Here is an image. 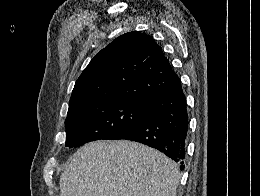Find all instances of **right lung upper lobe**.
I'll return each mask as SVG.
<instances>
[{"label":"right lung upper lobe","mask_w":260,"mask_h":196,"mask_svg":"<svg viewBox=\"0 0 260 196\" xmlns=\"http://www.w3.org/2000/svg\"><path fill=\"white\" fill-rule=\"evenodd\" d=\"M178 80L153 38L133 31L116 38L91 60L75 83L69 106L106 97L141 102Z\"/></svg>","instance_id":"obj_1"}]
</instances>
